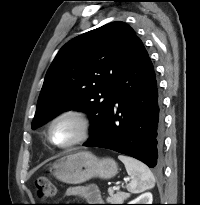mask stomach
I'll use <instances>...</instances> for the list:
<instances>
[{"mask_svg": "<svg viewBox=\"0 0 200 205\" xmlns=\"http://www.w3.org/2000/svg\"><path fill=\"white\" fill-rule=\"evenodd\" d=\"M50 172L61 182L80 184L93 177L110 179L117 174L118 166L111 158L99 159L88 151H79L58 159Z\"/></svg>", "mask_w": 200, "mask_h": 205, "instance_id": "stomach-1", "label": "stomach"}]
</instances>
